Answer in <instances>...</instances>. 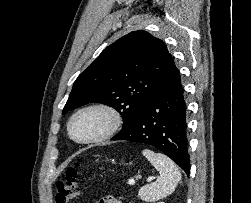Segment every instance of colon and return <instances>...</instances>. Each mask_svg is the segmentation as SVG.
I'll use <instances>...</instances> for the list:
<instances>
[{"mask_svg": "<svg viewBox=\"0 0 251 203\" xmlns=\"http://www.w3.org/2000/svg\"><path fill=\"white\" fill-rule=\"evenodd\" d=\"M79 165L70 167L66 171L64 180L57 182L56 203H70L79 194V183L77 180Z\"/></svg>", "mask_w": 251, "mask_h": 203, "instance_id": "colon-1", "label": "colon"}]
</instances>
